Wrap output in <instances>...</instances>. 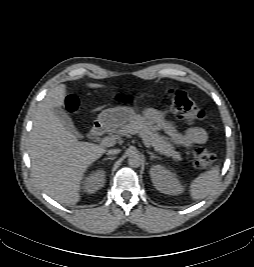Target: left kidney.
Wrapping results in <instances>:
<instances>
[{"label": "left kidney", "mask_w": 254, "mask_h": 267, "mask_svg": "<svg viewBox=\"0 0 254 267\" xmlns=\"http://www.w3.org/2000/svg\"><path fill=\"white\" fill-rule=\"evenodd\" d=\"M150 176L154 187L161 193L178 195L183 192V187L176 175L161 165H153Z\"/></svg>", "instance_id": "left-kidney-1"}]
</instances>
